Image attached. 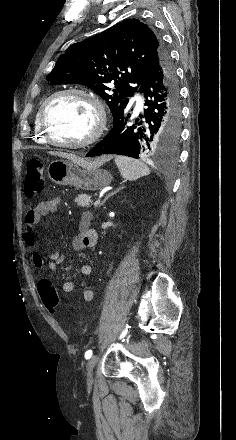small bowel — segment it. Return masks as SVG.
I'll return each mask as SVG.
<instances>
[{
    "label": "small bowel",
    "instance_id": "obj_1",
    "mask_svg": "<svg viewBox=\"0 0 236 440\" xmlns=\"http://www.w3.org/2000/svg\"><path fill=\"white\" fill-rule=\"evenodd\" d=\"M59 199L53 198L49 200H44L39 202L35 207L29 209L26 213L24 219V231L23 239L28 247L33 249L32 261L37 272L44 273L46 268L50 271H55L59 265L64 262V256L59 252H54L50 259L45 262L43 256L39 251L35 249L36 247V225L42 217H45L57 210L59 206ZM91 214L84 213L80 219L78 226V233L72 240V248L76 251L82 250L84 248L93 249L96 247L98 242V236L91 226ZM93 267L89 264H85L81 267V274L88 277L92 274ZM75 283L72 280H67L62 285V290L65 293H70L74 291ZM93 292L86 289L82 293V300L89 303L93 300Z\"/></svg>",
    "mask_w": 236,
    "mask_h": 440
}]
</instances>
